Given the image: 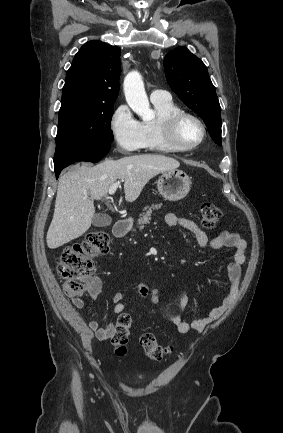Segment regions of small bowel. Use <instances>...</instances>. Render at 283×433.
<instances>
[{
    "instance_id": "obj_1",
    "label": "small bowel",
    "mask_w": 283,
    "mask_h": 433,
    "mask_svg": "<svg viewBox=\"0 0 283 433\" xmlns=\"http://www.w3.org/2000/svg\"><path fill=\"white\" fill-rule=\"evenodd\" d=\"M165 222L169 227L179 226L191 232L195 236L197 244L202 248L221 249L230 247L234 249L233 262L228 266V290L221 305L208 312L204 317L192 321H186L178 314L169 317L171 323L174 324L182 334H187L192 330L203 331L208 324L220 319L234 304L238 296L241 280V266L246 259V241L239 234L229 231H222L217 236H209L192 220L179 218L173 213H168L165 216ZM101 290V281L97 278H91L89 295L93 299H96L100 295ZM137 291L141 298H149L154 304L160 303V291L158 288H150L145 283H139L137 285ZM124 297V294L120 292L113 295L112 303L114 305V314L119 315L124 311ZM187 305L188 297L182 295L178 300V307L185 309ZM83 307L84 301L81 297H76L72 298V306H67L65 309L68 320L80 327H83L85 324L75 309H82ZM87 327L95 334L97 339L106 340L113 332L114 323L101 326L98 321L92 320L88 323Z\"/></svg>"
}]
</instances>
